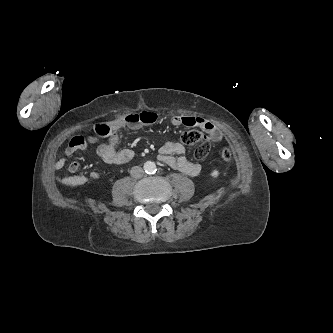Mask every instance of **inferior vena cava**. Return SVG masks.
<instances>
[{"label":"inferior vena cava","instance_id":"inferior-vena-cava-1","mask_svg":"<svg viewBox=\"0 0 333 333\" xmlns=\"http://www.w3.org/2000/svg\"><path fill=\"white\" fill-rule=\"evenodd\" d=\"M130 175L133 178L139 179V178H141L144 175V171H143V169L141 167L134 166L130 170Z\"/></svg>","mask_w":333,"mask_h":333}]
</instances>
